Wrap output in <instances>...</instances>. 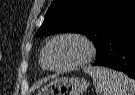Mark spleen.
Here are the masks:
<instances>
[{
  "label": "spleen",
  "mask_w": 135,
  "mask_h": 95,
  "mask_svg": "<svg viewBox=\"0 0 135 95\" xmlns=\"http://www.w3.org/2000/svg\"><path fill=\"white\" fill-rule=\"evenodd\" d=\"M84 72L93 79L98 95H134L135 81L121 72L104 67H85Z\"/></svg>",
  "instance_id": "3e777b00"
}]
</instances>
